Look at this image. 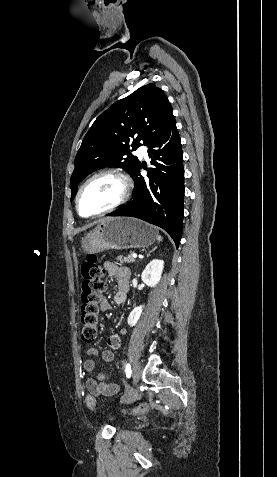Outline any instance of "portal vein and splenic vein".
<instances>
[{
	"instance_id": "obj_1",
	"label": "portal vein and splenic vein",
	"mask_w": 277,
	"mask_h": 477,
	"mask_svg": "<svg viewBox=\"0 0 277 477\" xmlns=\"http://www.w3.org/2000/svg\"><path fill=\"white\" fill-rule=\"evenodd\" d=\"M132 256H133L134 258H137V254H136V253H133Z\"/></svg>"
}]
</instances>
